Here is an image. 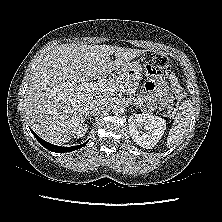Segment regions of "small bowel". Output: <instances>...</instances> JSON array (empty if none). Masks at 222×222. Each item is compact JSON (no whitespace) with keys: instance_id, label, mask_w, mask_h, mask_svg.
I'll return each mask as SVG.
<instances>
[{"instance_id":"obj_1","label":"small bowel","mask_w":222,"mask_h":222,"mask_svg":"<svg viewBox=\"0 0 222 222\" xmlns=\"http://www.w3.org/2000/svg\"><path fill=\"white\" fill-rule=\"evenodd\" d=\"M169 84L173 86L172 89L169 88ZM145 89L148 92L149 108L154 104L163 107L169 101L171 92L175 94L179 92L176 78L171 73H168L165 78L157 73L150 74L149 80L145 84Z\"/></svg>"}]
</instances>
